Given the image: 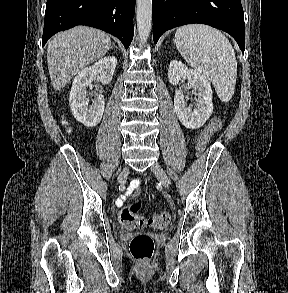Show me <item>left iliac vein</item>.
Wrapping results in <instances>:
<instances>
[{"mask_svg":"<svg viewBox=\"0 0 288 293\" xmlns=\"http://www.w3.org/2000/svg\"><path fill=\"white\" fill-rule=\"evenodd\" d=\"M152 172L155 174V176L160 180L162 185L168 189L170 187V180L165 173L164 169L158 164L154 163L151 167Z\"/></svg>","mask_w":288,"mask_h":293,"instance_id":"1","label":"left iliac vein"}]
</instances>
